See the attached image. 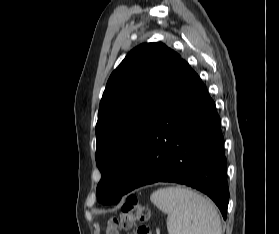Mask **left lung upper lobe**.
<instances>
[{"instance_id": "obj_1", "label": "left lung upper lobe", "mask_w": 279, "mask_h": 234, "mask_svg": "<svg viewBox=\"0 0 279 234\" xmlns=\"http://www.w3.org/2000/svg\"><path fill=\"white\" fill-rule=\"evenodd\" d=\"M181 56L165 44L144 43L112 72L96 124L97 200L120 201L158 104Z\"/></svg>"}]
</instances>
